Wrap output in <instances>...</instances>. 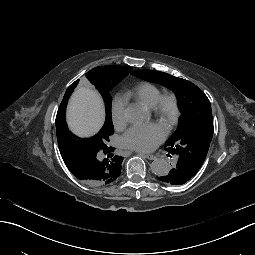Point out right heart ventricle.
<instances>
[{"label":"right heart ventricle","instance_id":"obj_1","mask_svg":"<svg viewBox=\"0 0 255 255\" xmlns=\"http://www.w3.org/2000/svg\"><path fill=\"white\" fill-rule=\"evenodd\" d=\"M162 90L151 82H142L134 90L128 92L125 96L127 100L133 99L143 104L147 108H153Z\"/></svg>","mask_w":255,"mask_h":255}]
</instances>
